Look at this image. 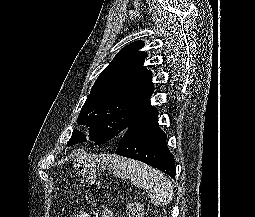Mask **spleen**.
<instances>
[{"instance_id": "obj_1", "label": "spleen", "mask_w": 255, "mask_h": 217, "mask_svg": "<svg viewBox=\"0 0 255 217\" xmlns=\"http://www.w3.org/2000/svg\"><path fill=\"white\" fill-rule=\"evenodd\" d=\"M110 167L116 176L129 178L134 186L145 189L151 203L155 206H164L172 200V183L159 170L141 162L120 157L110 158Z\"/></svg>"}]
</instances>
